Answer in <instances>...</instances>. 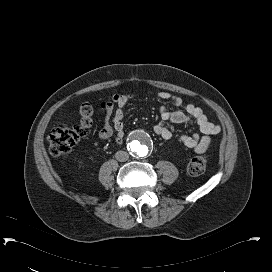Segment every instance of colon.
Masks as SVG:
<instances>
[{
    "label": "colon",
    "instance_id": "5ec220e1",
    "mask_svg": "<svg viewBox=\"0 0 272 272\" xmlns=\"http://www.w3.org/2000/svg\"><path fill=\"white\" fill-rule=\"evenodd\" d=\"M101 109L108 108L107 103L100 104ZM93 124V110L85 104L80 109V118L77 122L62 123L48 134L50 152L54 156L66 155L89 131ZM207 160L204 156H194L188 163V172L191 175H200L205 172Z\"/></svg>",
    "mask_w": 272,
    "mask_h": 272
}]
</instances>
